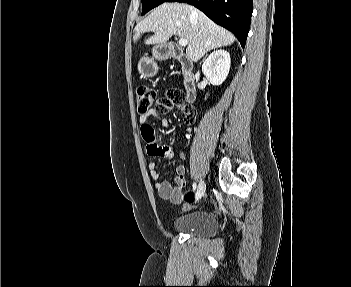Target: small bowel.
Segmentation results:
<instances>
[{
    "label": "small bowel",
    "instance_id": "c3829d8e",
    "mask_svg": "<svg viewBox=\"0 0 351 287\" xmlns=\"http://www.w3.org/2000/svg\"><path fill=\"white\" fill-rule=\"evenodd\" d=\"M187 116L194 117V113H190ZM150 119H154L161 124L164 128L170 127V122L161 118L156 111L149 110L139 117L140 132L144 142V152H147V156H153L154 158H163L170 160L173 157V150L169 146H162V143L158 142L157 132H154V122H148ZM180 157L185 158V153L180 151ZM151 178L155 181V189L161 198L169 199L175 204L182 202V191L186 187L185 175L186 167L182 164L176 167L175 185H171L169 182L160 178V173L157 169V163L152 160L148 164Z\"/></svg>",
    "mask_w": 351,
    "mask_h": 287
}]
</instances>
